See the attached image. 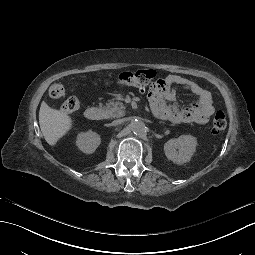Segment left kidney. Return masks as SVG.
Instances as JSON below:
<instances>
[{
    "label": "left kidney",
    "mask_w": 255,
    "mask_h": 255,
    "mask_svg": "<svg viewBox=\"0 0 255 255\" xmlns=\"http://www.w3.org/2000/svg\"><path fill=\"white\" fill-rule=\"evenodd\" d=\"M197 146V139L191 135H181L170 139L164 144L165 155L174 163L183 164L189 162ZM178 149V151H177Z\"/></svg>",
    "instance_id": "1"
}]
</instances>
